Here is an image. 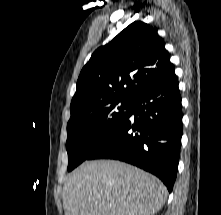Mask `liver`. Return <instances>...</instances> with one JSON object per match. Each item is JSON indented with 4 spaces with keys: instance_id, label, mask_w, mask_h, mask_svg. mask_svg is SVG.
<instances>
[{
    "instance_id": "liver-1",
    "label": "liver",
    "mask_w": 221,
    "mask_h": 215,
    "mask_svg": "<svg viewBox=\"0 0 221 215\" xmlns=\"http://www.w3.org/2000/svg\"><path fill=\"white\" fill-rule=\"evenodd\" d=\"M167 189L152 174L113 160L87 161L66 177L65 215H154Z\"/></svg>"
}]
</instances>
